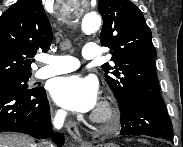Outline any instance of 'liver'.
Listing matches in <instances>:
<instances>
[{
  "instance_id": "1",
  "label": "liver",
  "mask_w": 183,
  "mask_h": 147,
  "mask_svg": "<svg viewBox=\"0 0 183 147\" xmlns=\"http://www.w3.org/2000/svg\"><path fill=\"white\" fill-rule=\"evenodd\" d=\"M0 147H36L32 138L16 134H0Z\"/></svg>"
}]
</instances>
